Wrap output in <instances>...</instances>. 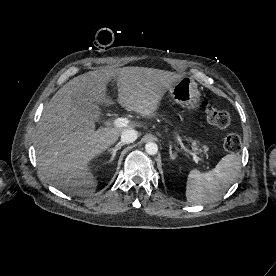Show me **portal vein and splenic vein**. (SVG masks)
Listing matches in <instances>:
<instances>
[{
    "mask_svg": "<svg viewBox=\"0 0 276 276\" xmlns=\"http://www.w3.org/2000/svg\"><path fill=\"white\" fill-rule=\"evenodd\" d=\"M128 123H129V120L123 117H120L114 120V125L116 127H126Z\"/></svg>",
    "mask_w": 276,
    "mask_h": 276,
    "instance_id": "18ae733b",
    "label": "portal vein and splenic vein"
}]
</instances>
